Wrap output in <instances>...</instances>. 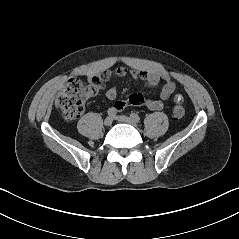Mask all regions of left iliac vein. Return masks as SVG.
Returning <instances> with one entry per match:
<instances>
[{
  "mask_svg": "<svg viewBox=\"0 0 239 239\" xmlns=\"http://www.w3.org/2000/svg\"><path fill=\"white\" fill-rule=\"evenodd\" d=\"M115 119L121 123H126V124L132 125L134 127L138 126L136 121H134L132 118L127 117L125 115L116 116Z\"/></svg>",
  "mask_w": 239,
  "mask_h": 239,
  "instance_id": "4c4485c4",
  "label": "left iliac vein"
}]
</instances>
